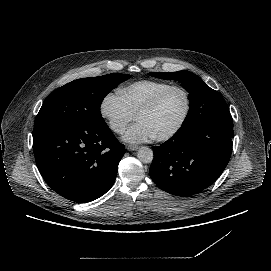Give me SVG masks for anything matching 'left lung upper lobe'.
<instances>
[{
    "mask_svg": "<svg viewBox=\"0 0 271 271\" xmlns=\"http://www.w3.org/2000/svg\"><path fill=\"white\" fill-rule=\"evenodd\" d=\"M150 75L166 80H177L189 93L190 110L180 129L191 128L195 123L206 120H232L222 95L192 72L186 70L172 73L152 72Z\"/></svg>",
    "mask_w": 271,
    "mask_h": 271,
    "instance_id": "left-lung-upper-lobe-1",
    "label": "left lung upper lobe"
}]
</instances>
